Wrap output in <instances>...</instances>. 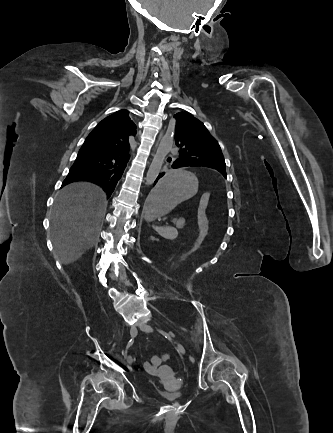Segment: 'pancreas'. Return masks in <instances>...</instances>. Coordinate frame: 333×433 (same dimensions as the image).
<instances>
[{
    "instance_id": "obj_1",
    "label": "pancreas",
    "mask_w": 333,
    "mask_h": 433,
    "mask_svg": "<svg viewBox=\"0 0 333 433\" xmlns=\"http://www.w3.org/2000/svg\"><path fill=\"white\" fill-rule=\"evenodd\" d=\"M173 223L176 224V227L178 229H182L185 226V221L183 219H179V220L173 219Z\"/></svg>"
}]
</instances>
